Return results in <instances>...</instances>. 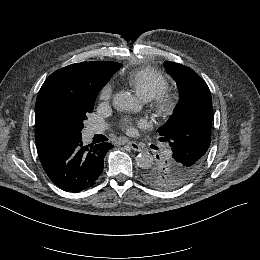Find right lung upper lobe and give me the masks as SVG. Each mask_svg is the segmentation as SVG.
<instances>
[{"label": "right lung upper lobe", "mask_w": 260, "mask_h": 260, "mask_svg": "<svg viewBox=\"0 0 260 260\" xmlns=\"http://www.w3.org/2000/svg\"><path fill=\"white\" fill-rule=\"evenodd\" d=\"M121 66L109 61L82 62L59 69L45 80L35 105V139L40 160L47 159L66 141L77 138L70 131L57 127L56 106L85 86H104Z\"/></svg>", "instance_id": "1"}]
</instances>
